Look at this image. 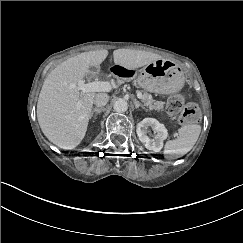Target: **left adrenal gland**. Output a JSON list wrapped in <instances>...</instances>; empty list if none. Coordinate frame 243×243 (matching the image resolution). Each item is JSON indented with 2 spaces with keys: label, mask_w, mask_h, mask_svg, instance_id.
I'll use <instances>...</instances> for the list:
<instances>
[{
  "label": "left adrenal gland",
  "mask_w": 243,
  "mask_h": 243,
  "mask_svg": "<svg viewBox=\"0 0 243 243\" xmlns=\"http://www.w3.org/2000/svg\"><path fill=\"white\" fill-rule=\"evenodd\" d=\"M133 102H134V105H135L136 109L139 108V107H141L143 109H146L145 106L143 104H141L137 99H134Z\"/></svg>",
  "instance_id": "obj_1"
}]
</instances>
